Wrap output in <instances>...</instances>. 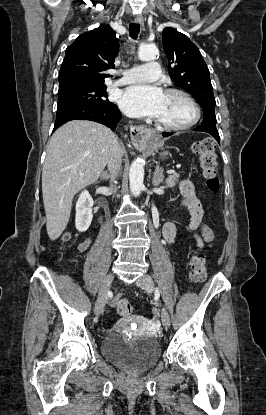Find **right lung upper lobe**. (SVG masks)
Masks as SVG:
<instances>
[{"mask_svg":"<svg viewBox=\"0 0 266 415\" xmlns=\"http://www.w3.org/2000/svg\"><path fill=\"white\" fill-rule=\"evenodd\" d=\"M119 43L115 31L108 25L81 34L66 49L59 73V91L100 86L110 75L103 72L113 68Z\"/></svg>","mask_w":266,"mask_h":415,"instance_id":"right-lung-upper-lobe-1","label":"right lung upper lobe"}]
</instances>
